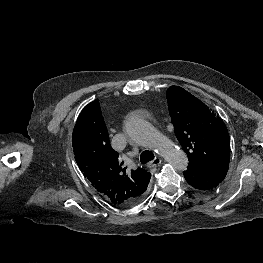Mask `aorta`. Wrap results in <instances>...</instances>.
Wrapping results in <instances>:
<instances>
[{"label": "aorta", "instance_id": "aorta-1", "mask_svg": "<svg viewBox=\"0 0 263 263\" xmlns=\"http://www.w3.org/2000/svg\"><path fill=\"white\" fill-rule=\"evenodd\" d=\"M127 135L136 143L144 145L161 155L177 170H186L187 155L167 138L159 134L146 120L139 116H130L125 121Z\"/></svg>", "mask_w": 263, "mask_h": 263}]
</instances>
